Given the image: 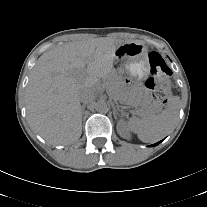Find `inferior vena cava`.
I'll return each mask as SVG.
<instances>
[{
  "mask_svg": "<svg viewBox=\"0 0 207 207\" xmlns=\"http://www.w3.org/2000/svg\"><path fill=\"white\" fill-rule=\"evenodd\" d=\"M95 99V93L91 89H82L79 92V100L83 103L92 102Z\"/></svg>",
  "mask_w": 207,
  "mask_h": 207,
  "instance_id": "inferior-vena-cava-1",
  "label": "inferior vena cava"
}]
</instances>
